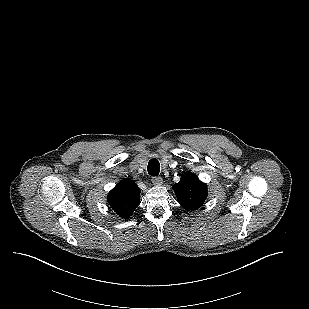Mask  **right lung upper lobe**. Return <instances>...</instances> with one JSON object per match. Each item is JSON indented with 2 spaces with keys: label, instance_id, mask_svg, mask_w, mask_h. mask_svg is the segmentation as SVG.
I'll return each mask as SVG.
<instances>
[{
  "label": "right lung upper lobe",
  "instance_id": "obj_1",
  "mask_svg": "<svg viewBox=\"0 0 309 309\" xmlns=\"http://www.w3.org/2000/svg\"><path fill=\"white\" fill-rule=\"evenodd\" d=\"M140 189L134 181L123 179L109 192L110 207L122 218L128 219L139 205Z\"/></svg>",
  "mask_w": 309,
  "mask_h": 309
}]
</instances>
